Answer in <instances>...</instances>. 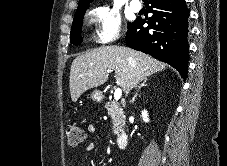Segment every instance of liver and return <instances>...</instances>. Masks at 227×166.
Segmentation results:
<instances>
[{"label": "liver", "instance_id": "liver-1", "mask_svg": "<svg viewBox=\"0 0 227 166\" xmlns=\"http://www.w3.org/2000/svg\"><path fill=\"white\" fill-rule=\"evenodd\" d=\"M166 64L149 55L123 46H101L77 56L71 65L69 86L73 102L86 91L103 85L108 71H115L116 84L125 94L147 79L165 70Z\"/></svg>", "mask_w": 227, "mask_h": 166}]
</instances>
